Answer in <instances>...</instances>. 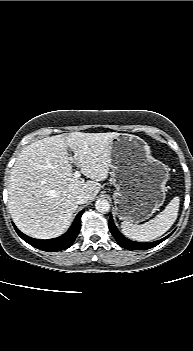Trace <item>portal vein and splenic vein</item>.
<instances>
[{
    "label": "portal vein and splenic vein",
    "mask_w": 193,
    "mask_h": 351,
    "mask_svg": "<svg viewBox=\"0 0 193 351\" xmlns=\"http://www.w3.org/2000/svg\"><path fill=\"white\" fill-rule=\"evenodd\" d=\"M71 161H72L73 163H75V158H72V157H71ZM80 176H81L80 171H75L74 174H73V177L76 178V179H78Z\"/></svg>",
    "instance_id": "obj_1"
}]
</instances>
